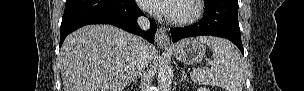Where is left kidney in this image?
<instances>
[{"instance_id":"5707ae66","label":"left kidney","mask_w":304,"mask_h":91,"mask_svg":"<svg viewBox=\"0 0 304 91\" xmlns=\"http://www.w3.org/2000/svg\"><path fill=\"white\" fill-rule=\"evenodd\" d=\"M197 91H210V90L205 87H200L199 89H197Z\"/></svg>"}]
</instances>
